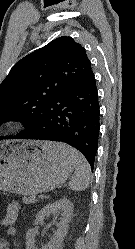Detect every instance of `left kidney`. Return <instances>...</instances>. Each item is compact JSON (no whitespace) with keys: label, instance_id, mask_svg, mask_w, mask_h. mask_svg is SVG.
I'll return each instance as SVG.
<instances>
[{"label":"left kidney","instance_id":"left-kidney-1","mask_svg":"<svg viewBox=\"0 0 135 249\" xmlns=\"http://www.w3.org/2000/svg\"><path fill=\"white\" fill-rule=\"evenodd\" d=\"M61 212L60 222L57 225L58 229L54 233L50 241L42 246L41 249H58L63 238L66 236L69 223L73 215V204L67 198H61L58 201L47 204L36 215L34 225L42 223L46 216L51 213ZM26 249H37L35 246V229H30L26 233Z\"/></svg>","mask_w":135,"mask_h":249}]
</instances>
